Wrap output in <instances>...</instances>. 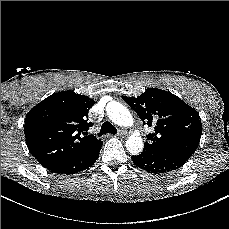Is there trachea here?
Masks as SVG:
<instances>
[{
    "label": "trachea",
    "instance_id": "3493384b",
    "mask_svg": "<svg viewBox=\"0 0 229 229\" xmlns=\"http://www.w3.org/2000/svg\"><path fill=\"white\" fill-rule=\"evenodd\" d=\"M106 133H110L113 135L117 133V129L108 121L102 124L99 135L102 136Z\"/></svg>",
    "mask_w": 229,
    "mask_h": 229
}]
</instances>
